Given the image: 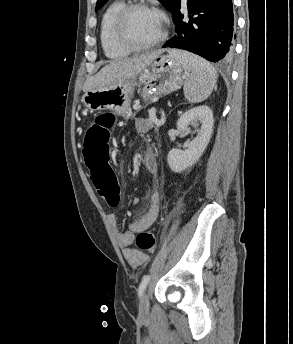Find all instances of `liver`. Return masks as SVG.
Listing matches in <instances>:
<instances>
[{
  "label": "liver",
  "instance_id": "obj_1",
  "mask_svg": "<svg viewBox=\"0 0 293 344\" xmlns=\"http://www.w3.org/2000/svg\"><path fill=\"white\" fill-rule=\"evenodd\" d=\"M161 53L162 51H156L138 57L112 61L105 65L97 74L86 79L83 91L86 93L100 87H115L138 75Z\"/></svg>",
  "mask_w": 293,
  "mask_h": 344
}]
</instances>
